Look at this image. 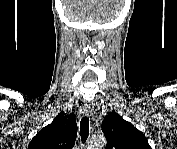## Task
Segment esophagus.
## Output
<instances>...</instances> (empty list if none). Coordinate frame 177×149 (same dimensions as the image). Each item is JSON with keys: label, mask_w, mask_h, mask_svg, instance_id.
Wrapping results in <instances>:
<instances>
[{"label": "esophagus", "mask_w": 177, "mask_h": 149, "mask_svg": "<svg viewBox=\"0 0 177 149\" xmlns=\"http://www.w3.org/2000/svg\"><path fill=\"white\" fill-rule=\"evenodd\" d=\"M92 111H93V107L90 103H85L84 105V112L87 116H91L92 114Z\"/></svg>", "instance_id": "34e87169"}]
</instances>
